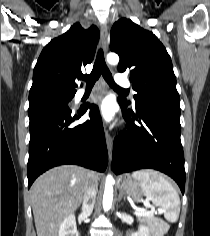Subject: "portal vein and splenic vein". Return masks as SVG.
Instances as JSON below:
<instances>
[{
  "label": "portal vein and splenic vein",
  "instance_id": "18ae733b",
  "mask_svg": "<svg viewBox=\"0 0 210 236\" xmlns=\"http://www.w3.org/2000/svg\"><path fill=\"white\" fill-rule=\"evenodd\" d=\"M145 204H148V203H145ZM161 212H162V210H161ZM153 213H154V210H153V209L150 210V211H147L146 209H142V210H140V211H136V212H135V214H136V215H139V216H141V215L151 216V215H153Z\"/></svg>",
  "mask_w": 210,
  "mask_h": 236
}]
</instances>
